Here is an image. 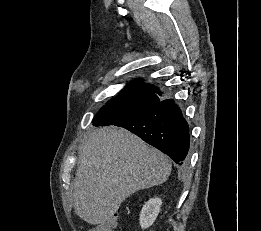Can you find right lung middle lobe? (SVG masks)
<instances>
[{"label": "right lung middle lobe", "mask_w": 261, "mask_h": 231, "mask_svg": "<svg viewBox=\"0 0 261 231\" xmlns=\"http://www.w3.org/2000/svg\"><path fill=\"white\" fill-rule=\"evenodd\" d=\"M161 101L158 95L138 88H125L109 100L93 119L94 126L114 125L132 118Z\"/></svg>", "instance_id": "obj_1"}]
</instances>
